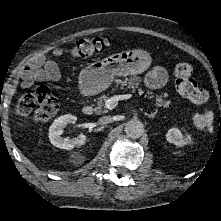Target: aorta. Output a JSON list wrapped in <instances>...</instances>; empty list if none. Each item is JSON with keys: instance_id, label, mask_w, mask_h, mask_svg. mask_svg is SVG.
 Masks as SVG:
<instances>
[{"instance_id": "762f6f07", "label": "aorta", "mask_w": 221, "mask_h": 221, "mask_svg": "<svg viewBox=\"0 0 221 221\" xmlns=\"http://www.w3.org/2000/svg\"><path fill=\"white\" fill-rule=\"evenodd\" d=\"M124 131L131 138H139L144 133V125L139 120H130L125 124Z\"/></svg>"}]
</instances>
